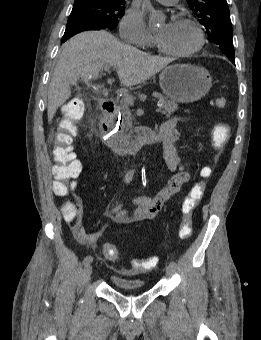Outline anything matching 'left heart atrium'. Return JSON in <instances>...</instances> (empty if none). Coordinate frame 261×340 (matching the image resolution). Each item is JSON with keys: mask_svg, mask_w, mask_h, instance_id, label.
<instances>
[{"mask_svg": "<svg viewBox=\"0 0 261 340\" xmlns=\"http://www.w3.org/2000/svg\"><path fill=\"white\" fill-rule=\"evenodd\" d=\"M175 22L174 21H170L166 26L168 29L172 28L174 26Z\"/></svg>", "mask_w": 261, "mask_h": 340, "instance_id": "39dd6f15", "label": "left heart atrium"}]
</instances>
